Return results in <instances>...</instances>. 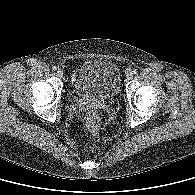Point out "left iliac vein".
I'll return each mask as SVG.
<instances>
[{
	"instance_id": "4c4485c4",
	"label": "left iliac vein",
	"mask_w": 195,
	"mask_h": 195,
	"mask_svg": "<svg viewBox=\"0 0 195 195\" xmlns=\"http://www.w3.org/2000/svg\"><path fill=\"white\" fill-rule=\"evenodd\" d=\"M132 77H133L132 72H131V73H128V74H127V76H126L127 80H131V79H132Z\"/></svg>"
}]
</instances>
